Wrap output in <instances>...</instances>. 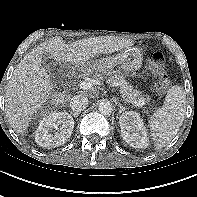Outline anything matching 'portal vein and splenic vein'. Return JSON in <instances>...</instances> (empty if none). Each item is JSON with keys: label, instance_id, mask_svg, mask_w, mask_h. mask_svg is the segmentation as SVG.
I'll return each mask as SVG.
<instances>
[{"label": "portal vein and splenic vein", "instance_id": "obj_1", "mask_svg": "<svg viewBox=\"0 0 197 197\" xmlns=\"http://www.w3.org/2000/svg\"><path fill=\"white\" fill-rule=\"evenodd\" d=\"M92 86H93V84H92L91 82H88V81H83V82L80 83V88H81L82 90H88V89H90ZM145 103H146V100H145L144 98L140 99L139 101H134V102H132V104H133L134 106H138V107H139V106L145 105Z\"/></svg>", "mask_w": 197, "mask_h": 197}]
</instances>
